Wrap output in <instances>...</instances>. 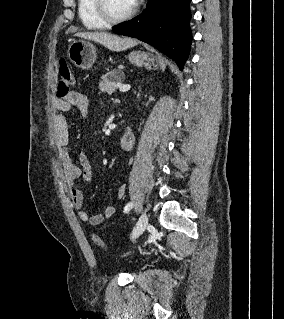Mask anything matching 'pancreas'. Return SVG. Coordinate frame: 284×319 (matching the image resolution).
Returning a JSON list of instances; mask_svg holds the SVG:
<instances>
[{"label": "pancreas", "instance_id": "cf45deb5", "mask_svg": "<svg viewBox=\"0 0 284 319\" xmlns=\"http://www.w3.org/2000/svg\"><path fill=\"white\" fill-rule=\"evenodd\" d=\"M118 74V76L116 75ZM102 81L99 82V88L102 92L112 94L119 84L124 80V73L118 71H111L101 77Z\"/></svg>", "mask_w": 284, "mask_h": 319}]
</instances>
